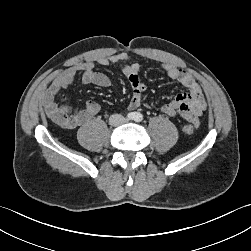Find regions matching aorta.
Returning a JSON list of instances; mask_svg holds the SVG:
<instances>
[{"label":"aorta","instance_id":"obj_1","mask_svg":"<svg viewBox=\"0 0 251 251\" xmlns=\"http://www.w3.org/2000/svg\"><path fill=\"white\" fill-rule=\"evenodd\" d=\"M138 121L142 120V115L140 113H137V119Z\"/></svg>","mask_w":251,"mask_h":251}]
</instances>
